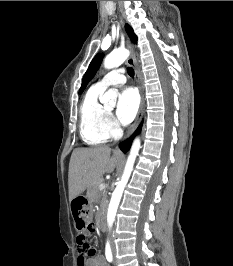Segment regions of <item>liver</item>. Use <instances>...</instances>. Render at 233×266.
I'll return each mask as SVG.
<instances>
[{
  "mask_svg": "<svg viewBox=\"0 0 233 266\" xmlns=\"http://www.w3.org/2000/svg\"><path fill=\"white\" fill-rule=\"evenodd\" d=\"M110 154L111 149L107 146L73 151L68 172L69 201L96 184L105 173L114 171L122 155L118 151Z\"/></svg>",
  "mask_w": 233,
  "mask_h": 266,
  "instance_id": "obj_1",
  "label": "liver"
}]
</instances>
